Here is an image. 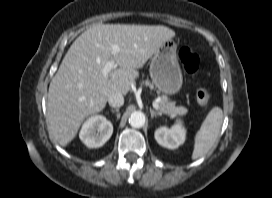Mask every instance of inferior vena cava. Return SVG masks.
<instances>
[{"label":"inferior vena cava","instance_id":"1","mask_svg":"<svg viewBox=\"0 0 272 198\" xmlns=\"http://www.w3.org/2000/svg\"><path fill=\"white\" fill-rule=\"evenodd\" d=\"M111 107L119 108L124 104V97L121 93H113L108 98Z\"/></svg>","mask_w":272,"mask_h":198}]
</instances>
